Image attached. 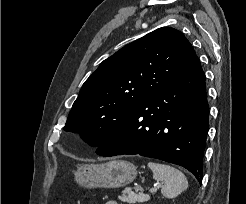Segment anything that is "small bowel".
I'll return each instance as SVG.
<instances>
[{"mask_svg":"<svg viewBox=\"0 0 246 204\" xmlns=\"http://www.w3.org/2000/svg\"><path fill=\"white\" fill-rule=\"evenodd\" d=\"M105 204H118L116 201H108Z\"/></svg>","mask_w":246,"mask_h":204,"instance_id":"obj_1","label":"small bowel"}]
</instances>
